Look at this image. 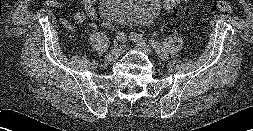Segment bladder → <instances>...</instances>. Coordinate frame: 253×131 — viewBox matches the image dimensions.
Segmentation results:
<instances>
[{"instance_id":"bladder-1","label":"bladder","mask_w":253,"mask_h":131,"mask_svg":"<svg viewBox=\"0 0 253 131\" xmlns=\"http://www.w3.org/2000/svg\"><path fill=\"white\" fill-rule=\"evenodd\" d=\"M100 11L111 23H142L157 18L160 7L156 0H102Z\"/></svg>"}]
</instances>
